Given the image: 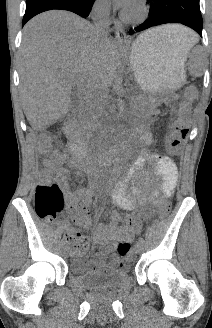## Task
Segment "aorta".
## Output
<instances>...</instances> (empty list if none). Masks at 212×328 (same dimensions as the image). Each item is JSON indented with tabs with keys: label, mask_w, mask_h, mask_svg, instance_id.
Returning <instances> with one entry per match:
<instances>
[{
	"label": "aorta",
	"mask_w": 212,
	"mask_h": 328,
	"mask_svg": "<svg viewBox=\"0 0 212 328\" xmlns=\"http://www.w3.org/2000/svg\"><path fill=\"white\" fill-rule=\"evenodd\" d=\"M122 78L118 77L116 82V90L120 91L122 89ZM122 163V156L119 152L115 154L114 157V164L115 167H112V173H111V180H121V177L124 176V169L123 167H120Z\"/></svg>",
	"instance_id": "1"
}]
</instances>
